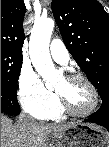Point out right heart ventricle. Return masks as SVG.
Returning <instances> with one entry per match:
<instances>
[{
	"instance_id": "1",
	"label": "right heart ventricle",
	"mask_w": 109,
	"mask_h": 147,
	"mask_svg": "<svg viewBox=\"0 0 109 147\" xmlns=\"http://www.w3.org/2000/svg\"><path fill=\"white\" fill-rule=\"evenodd\" d=\"M65 115V111L60 107L59 104L46 109L44 111H41L37 113L35 116L37 118H42L43 120H48V119H60L63 118Z\"/></svg>"
}]
</instances>
